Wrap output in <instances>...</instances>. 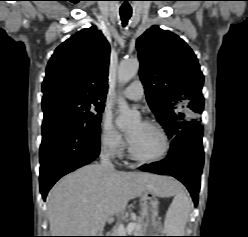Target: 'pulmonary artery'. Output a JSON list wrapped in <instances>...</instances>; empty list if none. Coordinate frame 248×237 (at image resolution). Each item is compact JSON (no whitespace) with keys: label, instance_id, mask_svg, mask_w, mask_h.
Wrapping results in <instances>:
<instances>
[{"label":"pulmonary artery","instance_id":"1","mask_svg":"<svg viewBox=\"0 0 248 237\" xmlns=\"http://www.w3.org/2000/svg\"><path fill=\"white\" fill-rule=\"evenodd\" d=\"M122 94L131 100L139 101L144 96V87L140 80L133 81L128 87H126Z\"/></svg>","mask_w":248,"mask_h":237}]
</instances>
